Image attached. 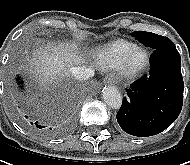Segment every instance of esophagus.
<instances>
[{"mask_svg":"<svg viewBox=\"0 0 190 165\" xmlns=\"http://www.w3.org/2000/svg\"><path fill=\"white\" fill-rule=\"evenodd\" d=\"M104 83H106V84H114L115 83V79L112 78V77H106L104 79Z\"/></svg>","mask_w":190,"mask_h":165,"instance_id":"esophagus-1","label":"esophagus"}]
</instances>
